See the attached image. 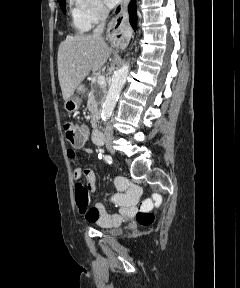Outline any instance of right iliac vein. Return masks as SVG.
Wrapping results in <instances>:
<instances>
[{"mask_svg": "<svg viewBox=\"0 0 240 288\" xmlns=\"http://www.w3.org/2000/svg\"><path fill=\"white\" fill-rule=\"evenodd\" d=\"M107 149L110 151L111 154H113V155L115 154V149L112 145H108Z\"/></svg>", "mask_w": 240, "mask_h": 288, "instance_id": "1", "label": "right iliac vein"}]
</instances>
